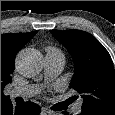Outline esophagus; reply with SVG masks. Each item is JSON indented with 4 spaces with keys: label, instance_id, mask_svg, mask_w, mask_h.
<instances>
[{
    "label": "esophagus",
    "instance_id": "1",
    "mask_svg": "<svg viewBox=\"0 0 115 115\" xmlns=\"http://www.w3.org/2000/svg\"><path fill=\"white\" fill-rule=\"evenodd\" d=\"M41 110H42V113H44V114H49V115L54 114V111H52L46 107H43Z\"/></svg>",
    "mask_w": 115,
    "mask_h": 115
}]
</instances>
